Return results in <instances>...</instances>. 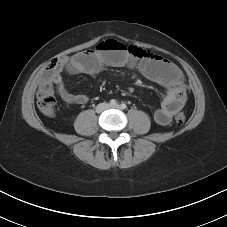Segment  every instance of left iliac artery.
<instances>
[{"label":"left iliac artery","mask_w":227,"mask_h":227,"mask_svg":"<svg viewBox=\"0 0 227 227\" xmlns=\"http://www.w3.org/2000/svg\"><path fill=\"white\" fill-rule=\"evenodd\" d=\"M120 107H121V109H126L127 108V105L126 104H124V103H122L121 105H120Z\"/></svg>","instance_id":"44dca946"}]
</instances>
